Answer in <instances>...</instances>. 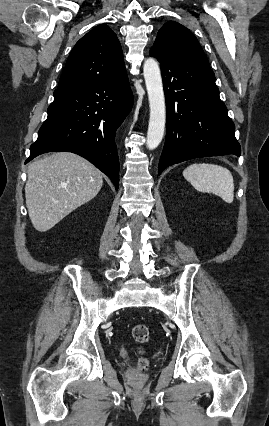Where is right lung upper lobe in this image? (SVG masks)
<instances>
[{
  "instance_id": "cb5924a9",
  "label": "right lung upper lobe",
  "mask_w": 269,
  "mask_h": 426,
  "mask_svg": "<svg viewBox=\"0 0 269 426\" xmlns=\"http://www.w3.org/2000/svg\"><path fill=\"white\" fill-rule=\"evenodd\" d=\"M125 72L122 48L116 34L106 24H100L74 46L54 93L108 81Z\"/></svg>"
}]
</instances>
